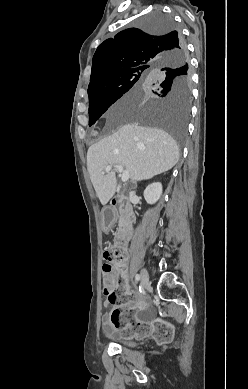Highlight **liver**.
<instances>
[{"label": "liver", "mask_w": 248, "mask_h": 389, "mask_svg": "<svg viewBox=\"0 0 248 389\" xmlns=\"http://www.w3.org/2000/svg\"><path fill=\"white\" fill-rule=\"evenodd\" d=\"M133 91L124 99L128 105L137 104ZM179 160V148L171 135L162 129L129 123L112 135L91 145L87 152V169L102 205L116 191L114 170L103 174L108 165L118 164L129 171L130 179L142 181L170 170Z\"/></svg>", "instance_id": "1"}]
</instances>
